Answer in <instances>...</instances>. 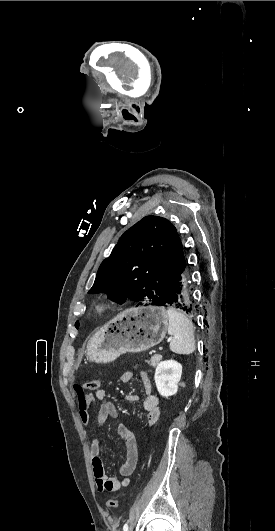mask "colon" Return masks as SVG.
I'll list each match as a JSON object with an SVG mask.
<instances>
[{"instance_id":"colon-1","label":"colon","mask_w":275,"mask_h":531,"mask_svg":"<svg viewBox=\"0 0 275 531\" xmlns=\"http://www.w3.org/2000/svg\"><path fill=\"white\" fill-rule=\"evenodd\" d=\"M101 385L100 378H92L85 382V392L93 393L98 392ZM119 501L117 498H110L106 501V505L109 509H116L118 507Z\"/></svg>"}]
</instances>
